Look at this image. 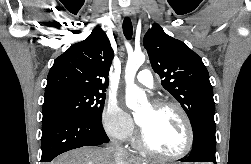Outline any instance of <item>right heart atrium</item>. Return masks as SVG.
Listing matches in <instances>:
<instances>
[{
    "instance_id": "1",
    "label": "right heart atrium",
    "mask_w": 251,
    "mask_h": 164,
    "mask_svg": "<svg viewBox=\"0 0 251 164\" xmlns=\"http://www.w3.org/2000/svg\"><path fill=\"white\" fill-rule=\"evenodd\" d=\"M101 122L106 134L116 141L129 140L135 131L131 115L115 101L105 105Z\"/></svg>"
}]
</instances>
